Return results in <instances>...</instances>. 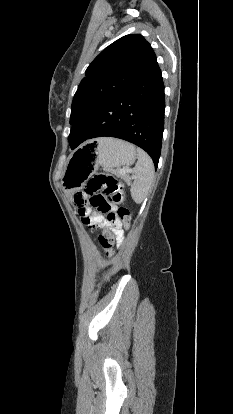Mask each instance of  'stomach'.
Here are the masks:
<instances>
[{
	"label": "stomach",
	"instance_id": "obj_1",
	"mask_svg": "<svg viewBox=\"0 0 233 414\" xmlns=\"http://www.w3.org/2000/svg\"><path fill=\"white\" fill-rule=\"evenodd\" d=\"M136 156L135 147L128 142L114 138L93 139L70 155L62 177L63 190L72 195L99 166L114 172L132 165Z\"/></svg>",
	"mask_w": 233,
	"mask_h": 414
}]
</instances>
